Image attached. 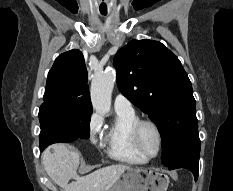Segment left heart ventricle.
Segmentation results:
<instances>
[{"label":"left heart ventricle","mask_w":233,"mask_h":191,"mask_svg":"<svg viewBox=\"0 0 233 191\" xmlns=\"http://www.w3.org/2000/svg\"><path fill=\"white\" fill-rule=\"evenodd\" d=\"M140 143L144 152L154 155L157 151L158 139L156 132L150 126H144L140 132Z\"/></svg>","instance_id":"1"}]
</instances>
